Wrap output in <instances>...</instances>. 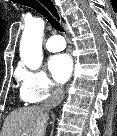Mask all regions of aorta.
Listing matches in <instances>:
<instances>
[{
  "mask_svg": "<svg viewBox=\"0 0 117 136\" xmlns=\"http://www.w3.org/2000/svg\"><path fill=\"white\" fill-rule=\"evenodd\" d=\"M45 22L42 18H34L25 23L20 42V57L30 69L36 70L42 64V37Z\"/></svg>",
  "mask_w": 117,
  "mask_h": 136,
  "instance_id": "aorta-1",
  "label": "aorta"
}]
</instances>
